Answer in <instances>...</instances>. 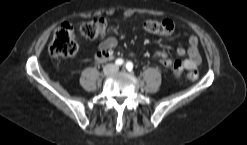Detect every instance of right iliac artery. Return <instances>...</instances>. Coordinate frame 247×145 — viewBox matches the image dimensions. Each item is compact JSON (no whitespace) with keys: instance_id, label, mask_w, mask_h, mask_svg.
<instances>
[{"instance_id":"obj_1","label":"right iliac artery","mask_w":247,"mask_h":145,"mask_svg":"<svg viewBox=\"0 0 247 145\" xmlns=\"http://www.w3.org/2000/svg\"><path fill=\"white\" fill-rule=\"evenodd\" d=\"M115 64H116L117 66H121V65L124 64V61H123V59H117V60L115 61Z\"/></svg>"}]
</instances>
